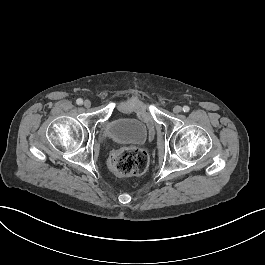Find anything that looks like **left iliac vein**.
Instances as JSON below:
<instances>
[{"instance_id": "1", "label": "left iliac vein", "mask_w": 265, "mask_h": 265, "mask_svg": "<svg viewBox=\"0 0 265 265\" xmlns=\"http://www.w3.org/2000/svg\"><path fill=\"white\" fill-rule=\"evenodd\" d=\"M173 111L175 113H180L182 111V107L179 105L174 106Z\"/></svg>"}]
</instances>
